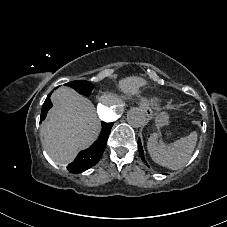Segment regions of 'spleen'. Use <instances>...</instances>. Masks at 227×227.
<instances>
[{
    "mask_svg": "<svg viewBox=\"0 0 227 227\" xmlns=\"http://www.w3.org/2000/svg\"><path fill=\"white\" fill-rule=\"evenodd\" d=\"M197 134L191 133L177 141L165 142L159 131L152 133L147 142L152 160L163 167L178 170L185 165L195 148Z\"/></svg>",
    "mask_w": 227,
    "mask_h": 227,
    "instance_id": "1",
    "label": "spleen"
}]
</instances>
